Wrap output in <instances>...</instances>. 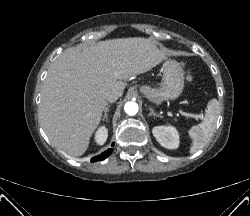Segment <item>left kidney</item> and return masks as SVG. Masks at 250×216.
Here are the masks:
<instances>
[{
  "mask_svg": "<svg viewBox=\"0 0 250 216\" xmlns=\"http://www.w3.org/2000/svg\"><path fill=\"white\" fill-rule=\"evenodd\" d=\"M156 140L167 149H176L179 146V134L173 126H156L152 129Z\"/></svg>",
  "mask_w": 250,
  "mask_h": 216,
  "instance_id": "left-kidney-1",
  "label": "left kidney"
}]
</instances>
